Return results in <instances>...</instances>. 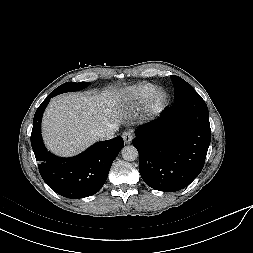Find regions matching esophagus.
Wrapping results in <instances>:
<instances>
[{"label": "esophagus", "mask_w": 253, "mask_h": 253, "mask_svg": "<svg viewBox=\"0 0 253 253\" xmlns=\"http://www.w3.org/2000/svg\"><path fill=\"white\" fill-rule=\"evenodd\" d=\"M123 140L126 144H130L133 139V133L131 131H125L122 134Z\"/></svg>", "instance_id": "1"}]
</instances>
